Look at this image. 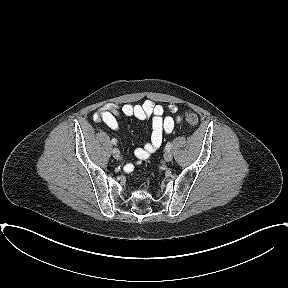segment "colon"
<instances>
[{
    "label": "colon",
    "mask_w": 288,
    "mask_h": 288,
    "mask_svg": "<svg viewBox=\"0 0 288 288\" xmlns=\"http://www.w3.org/2000/svg\"><path fill=\"white\" fill-rule=\"evenodd\" d=\"M185 120L191 127H194L198 124V116L191 111H187L185 113Z\"/></svg>",
    "instance_id": "5ec220e1"
}]
</instances>
